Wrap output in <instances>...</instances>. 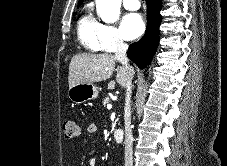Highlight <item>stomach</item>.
<instances>
[{"label": "stomach", "instance_id": "obj_1", "mask_svg": "<svg viewBox=\"0 0 227 166\" xmlns=\"http://www.w3.org/2000/svg\"><path fill=\"white\" fill-rule=\"evenodd\" d=\"M98 97V89L92 83H78L68 90V98L76 104H81Z\"/></svg>", "mask_w": 227, "mask_h": 166}]
</instances>
